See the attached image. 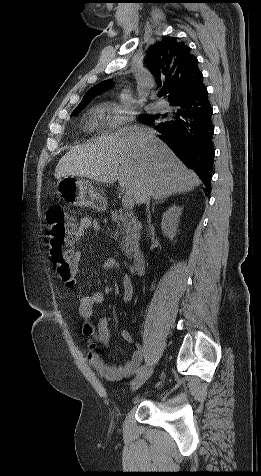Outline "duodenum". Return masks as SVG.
I'll use <instances>...</instances> for the list:
<instances>
[{"label":"duodenum","mask_w":261,"mask_h":476,"mask_svg":"<svg viewBox=\"0 0 261 476\" xmlns=\"http://www.w3.org/2000/svg\"><path fill=\"white\" fill-rule=\"evenodd\" d=\"M131 263L134 271L137 274H142L146 267L145 256L143 252L136 251L131 256Z\"/></svg>","instance_id":"duodenum-1"}]
</instances>
